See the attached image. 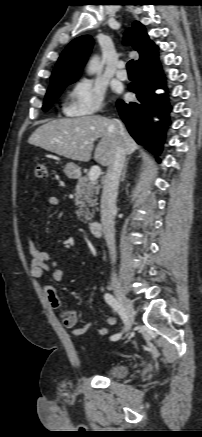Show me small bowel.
Wrapping results in <instances>:
<instances>
[{
    "label": "small bowel",
    "mask_w": 202,
    "mask_h": 437,
    "mask_svg": "<svg viewBox=\"0 0 202 437\" xmlns=\"http://www.w3.org/2000/svg\"><path fill=\"white\" fill-rule=\"evenodd\" d=\"M47 203L50 207H57L59 205V199L57 197H49ZM62 217V213L58 214V218ZM28 250L31 255L30 273L34 278L39 279L44 275L45 271H49L54 282H60L62 280L63 272L58 268L55 260L47 252L41 251L31 239L28 240ZM43 291L50 305L60 311L63 325L67 328H73L72 334L74 336H80L88 331L91 327L90 322L85 323L81 327L75 328L78 322V313L63 308L62 301L52 285H44ZM106 322L108 325H114L116 323L115 316L109 314L106 318ZM98 333L104 336L108 333V328L101 327L98 330Z\"/></svg>",
    "instance_id": "c3829d8e"
}]
</instances>
